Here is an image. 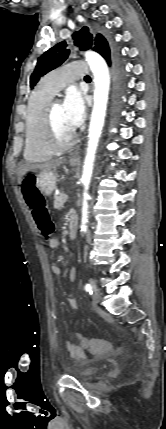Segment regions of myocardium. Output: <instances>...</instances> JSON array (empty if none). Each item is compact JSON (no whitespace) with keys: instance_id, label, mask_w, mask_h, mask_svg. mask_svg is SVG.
Instances as JSON below:
<instances>
[{"instance_id":"obj_1","label":"myocardium","mask_w":166,"mask_h":429,"mask_svg":"<svg viewBox=\"0 0 166 429\" xmlns=\"http://www.w3.org/2000/svg\"><path fill=\"white\" fill-rule=\"evenodd\" d=\"M60 103L58 99H51L45 106L42 118V139L44 145L54 152H62L69 149L75 141L76 133L73 130L65 141H59L55 135L52 112L56 104Z\"/></svg>"}]
</instances>
